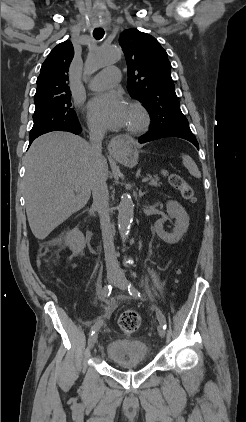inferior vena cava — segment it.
<instances>
[{"mask_svg":"<svg viewBox=\"0 0 246 422\" xmlns=\"http://www.w3.org/2000/svg\"><path fill=\"white\" fill-rule=\"evenodd\" d=\"M90 135V153L94 158L95 166L91 180V191L93 203L100 217L102 239L105 253L107 271L120 273V267L117 262L113 232L110 222L109 210V192L106 185L107 176L102 169V140L105 130L100 127H91Z\"/></svg>","mask_w":246,"mask_h":422,"instance_id":"602c4592","label":"inferior vena cava"}]
</instances>
